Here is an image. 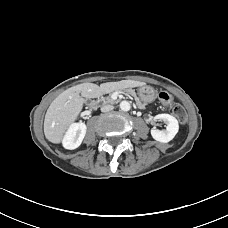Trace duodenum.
I'll return each mask as SVG.
<instances>
[{
  "label": "duodenum",
  "mask_w": 228,
  "mask_h": 228,
  "mask_svg": "<svg viewBox=\"0 0 228 228\" xmlns=\"http://www.w3.org/2000/svg\"><path fill=\"white\" fill-rule=\"evenodd\" d=\"M92 105L94 106V105H95V103L93 102V103H92Z\"/></svg>",
  "instance_id": "1"
}]
</instances>
